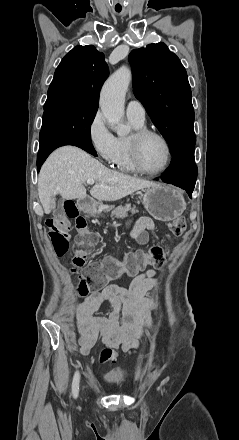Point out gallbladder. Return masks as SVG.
Listing matches in <instances>:
<instances>
[{
  "label": "gallbladder",
  "instance_id": "1",
  "mask_svg": "<svg viewBox=\"0 0 239 440\" xmlns=\"http://www.w3.org/2000/svg\"><path fill=\"white\" fill-rule=\"evenodd\" d=\"M55 206H56V200H55L54 196H52L51 202H50L51 210H54Z\"/></svg>",
  "mask_w": 239,
  "mask_h": 440
}]
</instances>
